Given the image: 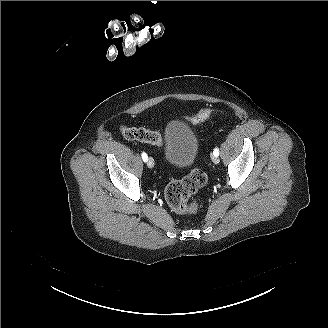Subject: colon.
I'll list each match as a JSON object with an SVG mask.
<instances>
[{"instance_id":"1","label":"colon","mask_w":328,"mask_h":328,"mask_svg":"<svg viewBox=\"0 0 328 328\" xmlns=\"http://www.w3.org/2000/svg\"><path fill=\"white\" fill-rule=\"evenodd\" d=\"M216 110L206 107L194 115L187 116V119L198 124L205 121ZM121 131L125 138L132 141H139L156 146L163 144L161 136L154 131L145 128L122 126ZM207 182V175L200 169L192 170L185 177L170 182L165 189V198L170 209L179 215L196 214L199 208L197 200L192 196L197 193Z\"/></svg>"}]
</instances>
